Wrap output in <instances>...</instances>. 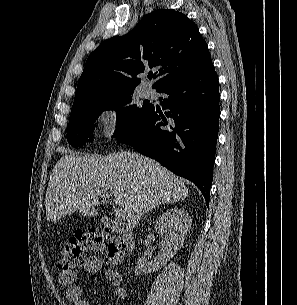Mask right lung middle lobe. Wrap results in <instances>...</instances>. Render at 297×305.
Instances as JSON below:
<instances>
[{"instance_id": "right-lung-middle-lobe-1", "label": "right lung middle lobe", "mask_w": 297, "mask_h": 305, "mask_svg": "<svg viewBox=\"0 0 297 305\" xmlns=\"http://www.w3.org/2000/svg\"><path fill=\"white\" fill-rule=\"evenodd\" d=\"M134 90L116 93L102 98H93L73 104L67 129V140L74 147L85 145L93 123L102 111L116 110V130L114 137L140 121L151 108L144 102L142 107L132 104ZM92 139L90 138L89 141Z\"/></svg>"}]
</instances>
